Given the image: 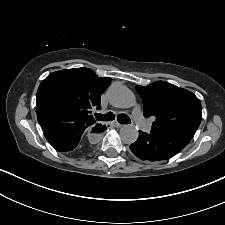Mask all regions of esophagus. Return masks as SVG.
<instances>
[{"mask_svg":"<svg viewBox=\"0 0 225 225\" xmlns=\"http://www.w3.org/2000/svg\"><path fill=\"white\" fill-rule=\"evenodd\" d=\"M110 126H113V127H121L123 126L122 124L118 123V122H112V123H108Z\"/></svg>","mask_w":225,"mask_h":225,"instance_id":"34e87169","label":"esophagus"}]
</instances>
